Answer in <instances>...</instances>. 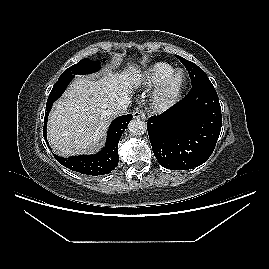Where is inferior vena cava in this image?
<instances>
[{
    "instance_id": "1",
    "label": "inferior vena cava",
    "mask_w": 269,
    "mask_h": 269,
    "mask_svg": "<svg viewBox=\"0 0 269 269\" xmlns=\"http://www.w3.org/2000/svg\"><path fill=\"white\" fill-rule=\"evenodd\" d=\"M130 101L128 99L121 100L108 108L109 114L113 116L124 114L129 106Z\"/></svg>"
}]
</instances>
